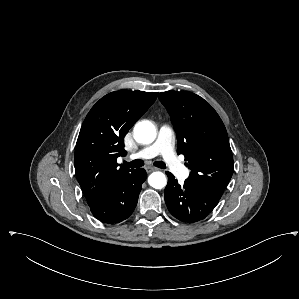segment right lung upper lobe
<instances>
[{
	"instance_id": "1",
	"label": "right lung upper lobe",
	"mask_w": 299,
	"mask_h": 299,
	"mask_svg": "<svg viewBox=\"0 0 299 299\" xmlns=\"http://www.w3.org/2000/svg\"><path fill=\"white\" fill-rule=\"evenodd\" d=\"M158 93L119 90L101 98L81 127L75 148V173L88 205L122 175L131 172L116 162L124 155V136L154 103Z\"/></svg>"
}]
</instances>
